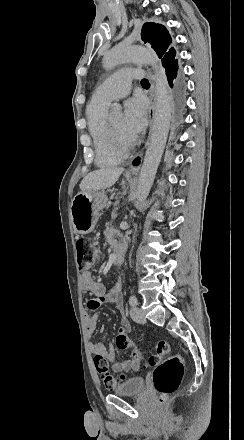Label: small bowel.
<instances>
[{"label": "small bowel", "mask_w": 244, "mask_h": 440, "mask_svg": "<svg viewBox=\"0 0 244 440\" xmlns=\"http://www.w3.org/2000/svg\"><path fill=\"white\" fill-rule=\"evenodd\" d=\"M119 236L120 235L118 233L109 231V241L113 246H116L120 241ZM80 282L82 288L92 295V298L88 301V307L90 309L96 310L102 304L107 302L116 303L120 308H122L123 296L119 281L115 282L111 289L107 292L105 285L99 281H96L90 271H84L81 273ZM98 320L99 317L97 314L87 317L86 324L88 334L91 335L95 332L97 329ZM121 322L125 323V331L126 333H129V320L125 316H122ZM104 330V326L99 327L100 332H104ZM89 347L92 353H106L107 360L112 364V368L115 372H125L131 369L135 370L139 368V363H135L133 360L134 356L128 359L118 360L115 348L112 345L106 346L101 342H90Z\"/></svg>", "instance_id": "small-bowel-1"}]
</instances>
